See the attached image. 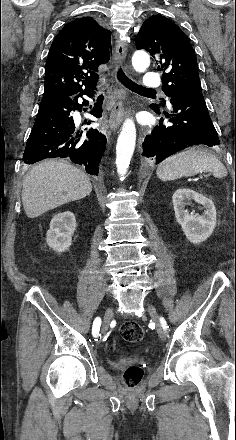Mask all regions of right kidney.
I'll return each mask as SVG.
<instances>
[{
  "instance_id": "obj_1",
  "label": "right kidney",
  "mask_w": 236,
  "mask_h": 440,
  "mask_svg": "<svg viewBox=\"0 0 236 440\" xmlns=\"http://www.w3.org/2000/svg\"><path fill=\"white\" fill-rule=\"evenodd\" d=\"M75 228L76 219L73 212L65 211L54 215L46 234L47 245L59 253L66 251L71 245Z\"/></svg>"
}]
</instances>
